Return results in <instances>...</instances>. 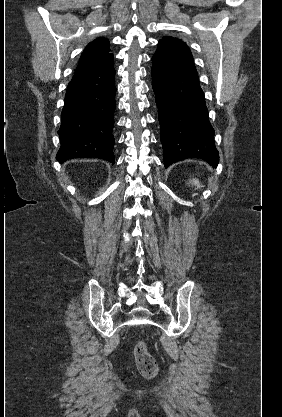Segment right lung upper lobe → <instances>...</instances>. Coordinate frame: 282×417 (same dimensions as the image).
<instances>
[{"instance_id": "right-lung-upper-lobe-1", "label": "right lung upper lobe", "mask_w": 282, "mask_h": 417, "mask_svg": "<svg viewBox=\"0 0 282 417\" xmlns=\"http://www.w3.org/2000/svg\"><path fill=\"white\" fill-rule=\"evenodd\" d=\"M111 60H113V55L110 53L109 41L103 37L97 38L84 49L75 73L107 63Z\"/></svg>"}]
</instances>
